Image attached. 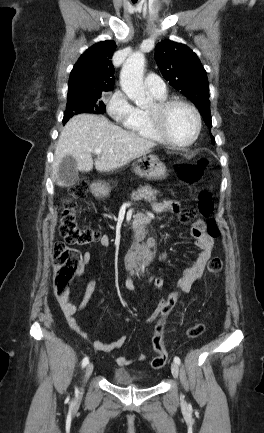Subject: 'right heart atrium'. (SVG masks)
I'll list each match as a JSON object with an SVG mask.
<instances>
[{"instance_id": "obj_1", "label": "right heart atrium", "mask_w": 264, "mask_h": 433, "mask_svg": "<svg viewBox=\"0 0 264 433\" xmlns=\"http://www.w3.org/2000/svg\"><path fill=\"white\" fill-rule=\"evenodd\" d=\"M106 110L114 121L127 125L135 119L137 108L124 92L117 90L106 100Z\"/></svg>"}]
</instances>
